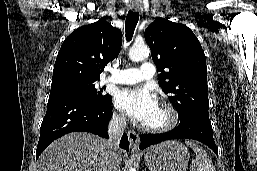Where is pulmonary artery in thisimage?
Wrapping results in <instances>:
<instances>
[{"label": "pulmonary artery", "instance_id": "1", "mask_svg": "<svg viewBox=\"0 0 257 171\" xmlns=\"http://www.w3.org/2000/svg\"><path fill=\"white\" fill-rule=\"evenodd\" d=\"M155 66L151 62H143L140 68H128L115 71L105 79L106 83L136 84L148 80L155 75Z\"/></svg>", "mask_w": 257, "mask_h": 171}]
</instances>
